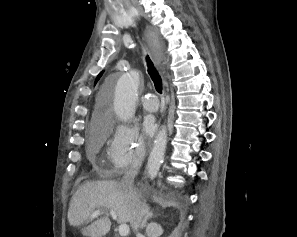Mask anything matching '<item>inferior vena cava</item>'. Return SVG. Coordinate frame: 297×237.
I'll return each instance as SVG.
<instances>
[{
	"label": "inferior vena cava",
	"instance_id": "inferior-vena-cava-1",
	"mask_svg": "<svg viewBox=\"0 0 297 237\" xmlns=\"http://www.w3.org/2000/svg\"><path fill=\"white\" fill-rule=\"evenodd\" d=\"M137 173L138 167H131L129 170H127L120 182V186L129 201L132 215L130 221L131 227L138 235V229L141 225L142 218L146 214V207L144 202L141 201L140 196L133 188L134 178Z\"/></svg>",
	"mask_w": 297,
	"mask_h": 237
}]
</instances>
